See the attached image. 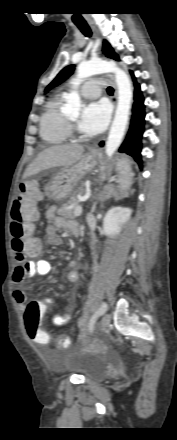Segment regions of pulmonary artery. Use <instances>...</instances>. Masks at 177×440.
Instances as JSON below:
<instances>
[{
	"label": "pulmonary artery",
	"mask_w": 177,
	"mask_h": 440,
	"mask_svg": "<svg viewBox=\"0 0 177 440\" xmlns=\"http://www.w3.org/2000/svg\"><path fill=\"white\" fill-rule=\"evenodd\" d=\"M103 82L96 78H91L84 82L80 88V92L85 98H96L100 95Z\"/></svg>",
	"instance_id": "obj_1"
}]
</instances>
